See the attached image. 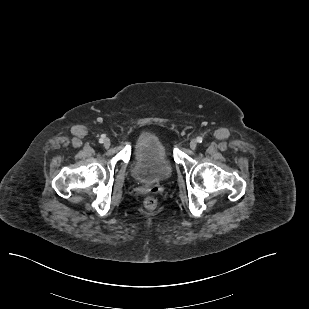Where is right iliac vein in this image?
Wrapping results in <instances>:
<instances>
[{
	"label": "right iliac vein",
	"mask_w": 309,
	"mask_h": 309,
	"mask_svg": "<svg viewBox=\"0 0 309 309\" xmlns=\"http://www.w3.org/2000/svg\"><path fill=\"white\" fill-rule=\"evenodd\" d=\"M111 142H110V139L109 138H105L103 140V145L105 148H108L110 146Z\"/></svg>",
	"instance_id": "obj_1"
}]
</instances>
